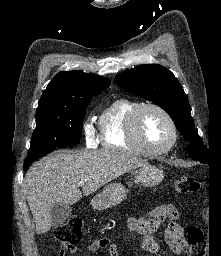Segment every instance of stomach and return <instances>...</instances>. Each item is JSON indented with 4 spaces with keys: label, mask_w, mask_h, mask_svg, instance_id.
Wrapping results in <instances>:
<instances>
[{
    "label": "stomach",
    "mask_w": 221,
    "mask_h": 256,
    "mask_svg": "<svg viewBox=\"0 0 221 256\" xmlns=\"http://www.w3.org/2000/svg\"><path fill=\"white\" fill-rule=\"evenodd\" d=\"M164 178L161 169L150 164L143 165L134 173V183L146 187H152L160 184ZM132 185L131 182L128 183ZM128 193L121 183H111L104 187L101 193L95 195L91 200V205L95 210H104L115 206L123 201Z\"/></svg>",
    "instance_id": "obj_1"
}]
</instances>
